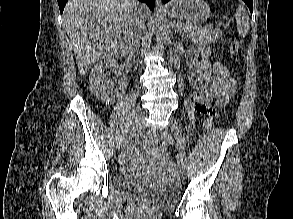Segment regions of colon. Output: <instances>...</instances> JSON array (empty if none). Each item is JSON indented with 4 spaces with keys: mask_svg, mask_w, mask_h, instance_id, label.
Here are the masks:
<instances>
[{
    "mask_svg": "<svg viewBox=\"0 0 293 219\" xmlns=\"http://www.w3.org/2000/svg\"><path fill=\"white\" fill-rule=\"evenodd\" d=\"M240 48H241L240 40L236 36L232 35L230 53L232 55H236L238 54ZM198 112L204 115H208L205 121V127L208 130H210L213 127L214 111L209 110L208 108L202 106L198 109ZM148 138L150 143H152L160 151H165L169 147V145L173 142L172 137L166 132L150 133Z\"/></svg>",
    "mask_w": 293,
    "mask_h": 219,
    "instance_id": "1",
    "label": "colon"
}]
</instances>
